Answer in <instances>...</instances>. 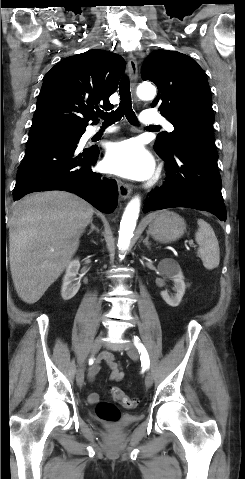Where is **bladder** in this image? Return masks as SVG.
<instances>
[{"instance_id": "bladder-1", "label": "bladder", "mask_w": 245, "mask_h": 479, "mask_svg": "<svg viewBox=\"0 0 245 479\" xmlns=\"http://www.w3.org/2000/svg\"><path fill=\"white\" fill-rule=\"evenodd\" d=\"M129 424V421L127 420L124 424H122V426H126Z\"/></svg>"}]
</instances>
